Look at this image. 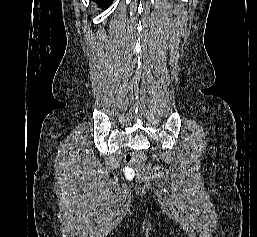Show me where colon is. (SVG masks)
I'll use <instances>...</instances> for the list:
<instances>
[{
  "mask_svg": "<svg viewBox=\"0 0 257 237\" xmlns=\"http://www.w3.org/2000/svg\"><path fill=\"white\" fill-rule=\"evenodd\" d=\"M143 158V153L135 152L133 154L127 155L125 160L126 162L137 163V172L140 179L147 181L159 177L162 173L161 168L157 166L142 164L141 161L143 160Z\"/></svg>",
  "mask_w": 257,
  "mask_h": 237,
  "instance_id": "colon-1",
  "label": "colon"
}]
</instances>
